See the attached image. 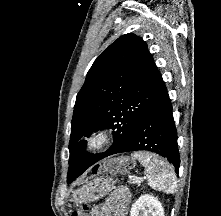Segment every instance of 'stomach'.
Masks as SVG:
<instances>
[{
    "label": "stomach",
    "mask_w": 221,
    "mask_h": 216,
    "mask_svg": "<svg viewBox=\"0 0 221 216\" xmlns=\"http://www.w3.org/2000/svg\"><path fill=\"white\" fill-rule=\"evenodd\" d=\"M114 187L113 180L109 177H96L86 181L85 184L77 189L71 201L77 204H86L97 201L107 195Z\"/></svg>",
    "instance_id": "obj_1"
}]
</instances>
